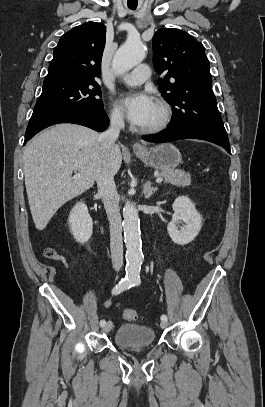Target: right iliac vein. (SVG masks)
I'll return each mask as SVG.
<instances>
[{"label": "right iliac vein", "instance_id": "right-iliac-vein-1", "mask_svg": "<svg viewBox=\"0 0 265 407\" xmlns=\"http://www.w3.org/2000/svg\"><path fill=\"white\" fill-rule=\"evenodd\" d=\"M111 328H112V322H111V321H108V322L104 325V327L102 328V331H103V332H108V331L111 330Z\"/></svg>", "mask_w": 265, "mask_h": 407}]
</instances>
